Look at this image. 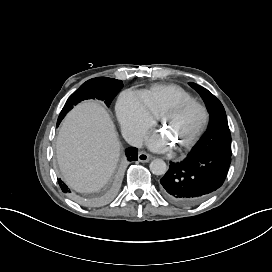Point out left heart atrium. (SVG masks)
I'll use <instances>...</instances> for the list:
<instances>
[{"label":"left heart atrium","mask_w":272,"mask_h":272,"mask_svg":"<svg viewBox=\"0 0 272 272\" xmlns=\"http://www.w3.org/2000/svg\"><path fill=\"white\" fill-rule=\"evenodd\" d=\"M149 146L156 151H163L167 149L168 140L165 136L154 133L149 137Z\"/></svg>","instance_id":"39dd6f15"}]
</instances>
